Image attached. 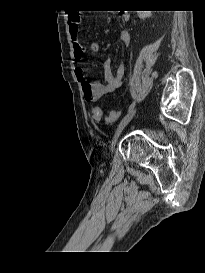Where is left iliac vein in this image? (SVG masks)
<instances>
[{
	"label": "left iliac vein",
	"mask_w": 205,
	"mask_h": 273,
	"mask_svg": "<svg viewBox=\"0 0 205 273\" xmlns=\"http://www.w3.org/2000/svg\"><path fill=\"white\" fill-rule=\"evenodd\" d=\"M136 111H137L136 108L132 109L130 112H128L125 115V117L119 123L118 128H117V130L115 132V135H114L113 140H112L111 145H110V153H113L114 146L116 144V141H117L119 135L121 134V132L123 131V129L127 126V124L131 121V119L135 115Z\"/></svg>",
	"instance_id": "1"
}]
</instances>
